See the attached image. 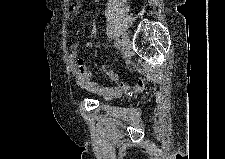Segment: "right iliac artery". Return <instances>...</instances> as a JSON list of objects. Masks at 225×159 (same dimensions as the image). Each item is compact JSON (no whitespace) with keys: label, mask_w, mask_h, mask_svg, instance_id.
Masks as SVG:
<instances>
[{"label":"right iliac artery","mask_w":225,"mask_h":159,"mask_svg":"<svg viewBox=\"0 0 225 159\" xmlns=\"http://www.w3.org/2000/svg\"><path fill=\"white\" fill-rule=\"evenodd\" d=\"M115 45L116 46H121V40L119 38L115 39Z\"/></svg>","instance_id":"right-iliac-artery-1"}]
</instances>
